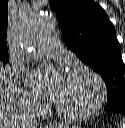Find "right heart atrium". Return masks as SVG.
Wrapping results in <instances>:
<instances>
[{"mask_svg": "<svg viewBox=\"0 0 125 128\" xmlns=\"http://www.w3.org/2000/svg\"><path fill=\"white\" fill-rule=\"evenodd\" d=\"M15 94L18 101V104L21 108L30 110V111H36L41 108V103L38 100L37 97H35L33 94L25 90L24 88L20 86L15 87Z\"/></svg>", "mask_w": 125, "mask_h": 128, "instance_id": "obj_1", "label": "right heart atrium"}]
</instances>
